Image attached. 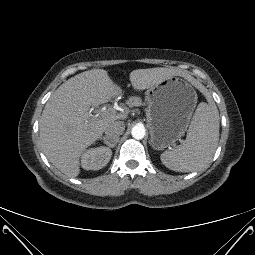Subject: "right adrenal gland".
<instances>
[{
	"instance_id": "right-adrenal-gland-1",
	"label": "right adrenal gland",
	"mask_w": 255,
	"mask_h": 255,
	"mask_svg": "<svg viewBox=\"0 0 255 255\" xmlns=\"http://www.w3.org/2000/svg\"><path fill=\"white\" fill-rule=\"evenodd\" d=\"M102 139H103L104 143L107 145L106 138L105 137H101L100 140H102ZM107 146L109 148H115L116 144H114V145H107Z\"/></svg>"
}]
</instances>
